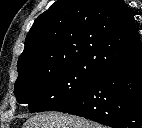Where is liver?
Returning <instances> with one entry per match:
<instances>
[{"label":"liver","instance_id":"liver-1","mask_svg":"<svg viewBox=\"0 0 142 128\" xmlns=\"http://www.w3.org/2000/svg\"><path fill=\"white\" fill-rule=\"evenodd\" d=\"M23 128H101L87 119L62 113H42L29 118Z\"/></svg>","mask_w":142,"mask_h":128}]
</instances>
